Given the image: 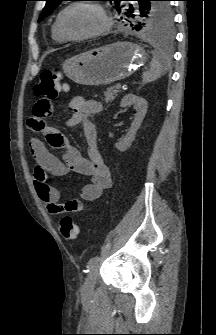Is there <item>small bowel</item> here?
<instances>
[{
	"mask_svg": "<svg viewBox=\"0 0 216 335\" xmlns=\"http://www.w3.org/2000/svg\"><path fill=\"white\" fill-rule=\"evenodd\" d=\"M50 98H38L27 124L33 134L45 135L48 144L63 151V162L55 157L44 144L36 137L29 140V149L34 160V186L40 200L45 204L52 215L71 211L83 210L87 203L97 200L112 186L110 171L105 164L98 149V137L95 126L90 117L102 111L100 102L94 99H85L82 96L74 97L70 102L72 114L67 120V126L76 128L83 126L87 146V155L84 157L68 140L54 127L49 126L51 115H61V108L51 104ZM53 138L52 143L50 139ZM75 172L89 177L90 181L84 185L79 194V199L60 203L59 191L49 185L50 176H63L68 172Z\"/></svg>",
	"mask_w": 216,
	"mask_h": 335,
	"instance_id": "small-bowel-1",
	"label": "small bowel"
}]
</instances>
